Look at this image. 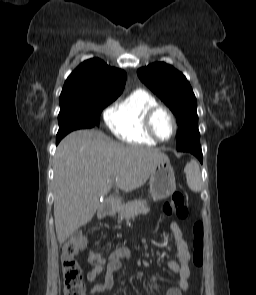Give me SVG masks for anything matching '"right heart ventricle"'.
Here are the masks:
<instances>
[{
	"instance_id": "right-heart-ventricle-1",
	"label": "right heart ventricle",
	"mask_w": 256,
	"mask_h": 295,
	"mask_svg": "<svg viewBox=\"0 0 256 295\" xmlns=\"http://www.w3.org/2000/svg\"><path fill=\"white\" fill-rule=\"evenodd\" d=\"M158 105L156 98L144 89H136L117 102L107 113L106 123L121 141L136 145H156L144 125L148 109Z\"/></svg>"
}]
</instances>
